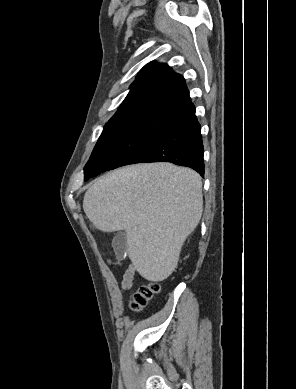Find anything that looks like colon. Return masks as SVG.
<instances>
[{
  "label": "colon",
  "mask_w": 296,
  "mask_h": 389,
  "mask_svg": "<svg viewBox=\"0 0 296 389\" xmlns=\"http://www.w3.org/2000/svg\"><path fill=\"white\" fill-rule=\"evenodd\" d=\"M158 291V283L152 282L146 285H142L133 294L132 300L130 302L131 309L134 311L142 310L152 300Z\"/></svg>",
  "instance_id": "colon-1"
}]
</instances>
